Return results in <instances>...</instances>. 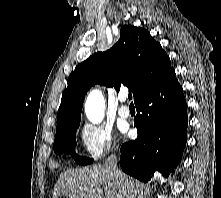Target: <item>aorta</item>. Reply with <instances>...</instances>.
Returning <instances> with one entry per match:
<instances>
[{"mask_svg": "<svg viewBox=\"0 0 221 198\" xmlns=\"http://www.w3.org/2000/svg\"><path fill=\"white\" fill-rule=\"evenodd\" d=\"M105 100L99 90H92L85 102V114L93 124H99L104 118Z\"/></svg>", "mask_w": 221, "mask_h": 198, "instance_id": "762f6f07", "label": "aorta"}]
</instances>
